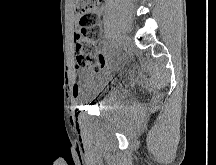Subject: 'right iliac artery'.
I'll return each mask as SVG.
<instances>
[{
    "label": "right iliac artery",
    "mask_w": 216,
    "mask_h": 165,
    "mask_svg": "<svg viewBox=\"0 0 216 165\" xmlns=\"http://www.w3.org/2000/svg\"><path fill=\"white\" fill-rule=\"evenodd\" d=\"M110 43H111V45L114 47V46L117 44V41L114 40V39H111V40H110Z\"/></svg>",
    "instance_id": "obj_1"
}]
</instances>
